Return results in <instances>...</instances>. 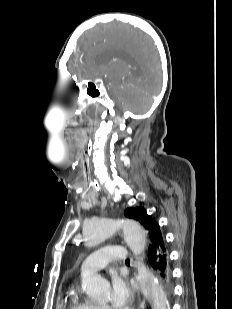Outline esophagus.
<instances>
[{
	"label": "esophagus",
	"instance_id": "esophagus-1",
	"mask_svg": "<svg viewBox=\"0 0 232 309\" xmlns=\"http://www.w3.org/2000/svg\"><path fill=\"white\" fill-rule=\"evenodd\" d=\"M144 305L141 303L138 309H143Z\"/></svg>",
	"mask_w": 232,
	"mask_h": 309
}]
</instances>
